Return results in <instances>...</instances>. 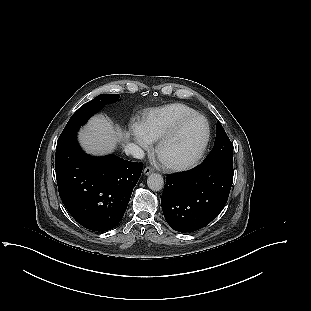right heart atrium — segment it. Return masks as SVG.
<instances>
[{"label": "right heart atrium", "mask_w": 311, "mask_h": 311, "mask_svg": "<svg viewBox=\"0 0 311 311\" xmlns=\"http://www.w3.org/2000/svg\"><path fill=\"white\" fill-rule=\"evenodd\" d=\"M128 133L141 148L147 149L150 147L151 141L144 134L140 124L130 123Z\"/></svg>", "instance_id": "right-heart-atrium-1"}]
</instances>
